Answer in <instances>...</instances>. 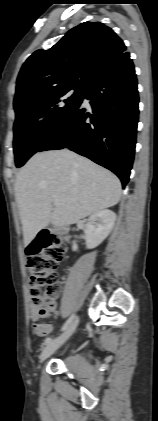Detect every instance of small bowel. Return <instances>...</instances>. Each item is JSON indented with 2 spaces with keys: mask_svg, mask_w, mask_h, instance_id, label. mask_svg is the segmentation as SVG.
Instances as JSON below:
<instances>
[{
  "mask_svg": "<svg viewBox=\"0 0 158 421\" xmlns=\"http://www.w3.org/2000/svg\"><path fill=\"white\" fill-rule=\"evenodd\" d=\"M48 314L40 315L35 305L31 308V319L33 322V329L38 337L47 336L52 331V326L48 323L41 322L42 318H46Z\"/></svg>",
  "mask_w": 158,
  "mask_h": 421,
  "instance_id": "obj_1",
  "label": "small bowel"
}]
</instances>
